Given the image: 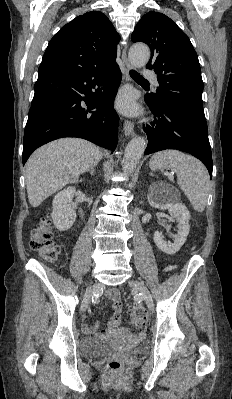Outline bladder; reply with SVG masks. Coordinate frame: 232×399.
I'll return each mask as SVG.
<instances>
[{
  "label": "bladder",
  "instance_id": "bladder-1",
  "mask_svg": "<svg viewBox=\"0 0 232 399\" xmlns=\"http://www.w3.org/2000/svg\"><path fill=\"white\" fill-rule=\"evenodd\" d=\"M79 350L81 355L89 358H99L120 352L117 346L104 342L98 338L85 337L80 341ZM143 347H137L132 350L133 353H140Z\"/></svg>",
  "mask_w": 232,
  "mask_h": 399
}]
</instances>
